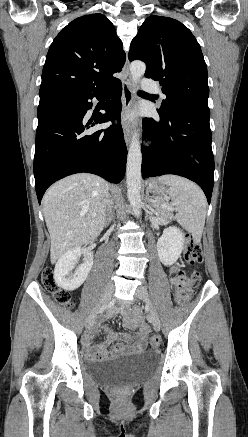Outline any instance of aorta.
I'll list each match as a JSON object with an SVG mask.
<instances>
[{
	"label": "aorta",
	"mask_w": 248,
	"mask_h": 437,
	"mask_svg": "<svg viewBox=\"0 0 248 437\" xmlns=\"http://www.w3.org/2000/svg\"><path fill=\"white\" fill-rule=\"evenodd\" d=\"M146 70V65L142 61H133L130 65V73L132 78V83L134 88H136L137 83L140 78L144 75ZM141 164H142V153L139 138L137 133L133 135L132 141L129 146L127 155V169H126V181H127V196L130 205L133 210V214L138 217L140 216L141 210Z\"/></svg>",
	"instance_id": "obj_1"
}]
</instances>
